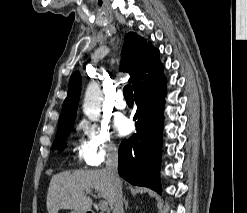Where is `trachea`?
<instances>
[{"label":"trachea","mask_w":247,"mask_h":213,"mask_svg":"<svg viewBox=\"0 0 247 213\" xmlns=\"http://www.w3.org/2000/svg\"><path fill=\"white\" fill-rule=\"evenodd\" d=\"M123 94L125 99H133L132 87L130 84L124 86Z\"/></svg>","instance_id":"3493384b"}]
</instances>
